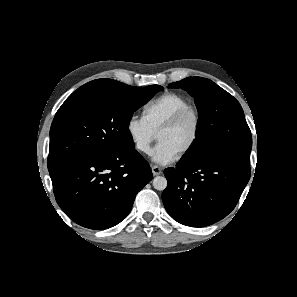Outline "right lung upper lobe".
Segmentation results:
<instances>
[{
  "label": "right lung upper lobe",
  "instance_id": "cb5924a9",
  "mask_svg": "<svg viewBox=\"0 0 297 297\" xmlns=\"http://www.w3.org/2000/svg\"><path fill=\"white\" fill-rule=\"evenodd\" d=\"M100 80H102V79L93 80V81H90V82L84 84L83 86L78 88L76 91H74L71 95L74 96V95H78V94H81L84 92H88V91L97 89L100 86V83H101Z\"/></svg>",
  "mask_w": 297,
  "mask_h": 297
}]
</instances>
